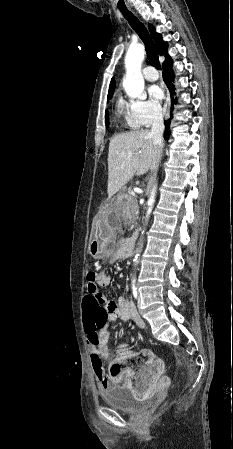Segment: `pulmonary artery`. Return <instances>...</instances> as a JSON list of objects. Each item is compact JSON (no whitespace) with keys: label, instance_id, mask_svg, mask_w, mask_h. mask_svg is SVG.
Masks as SVG:
<instances>
[{"label":"pulmonary artery","instance_id":"e3ab8cb5","mask_svg":"<svg viewBox=\"0 0 233 449\" xmlns=\"http://www.w3.org/2000/svg\"><path fill=\"white\" fill-rule=\"evenodd\" d=\"M143 76L148 81H156L159 78L158 72L152 66H147L143 69Z\"/></svg>","mask_w":233,"mask_h":449}]
</instances>
